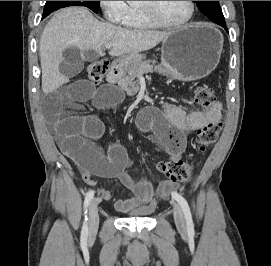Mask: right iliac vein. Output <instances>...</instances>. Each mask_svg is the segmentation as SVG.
I'll use <instances>...</instances> for the list:
<instances>
[{
	"instance_id": "right-iliac-vein-1",
	"label": "right iliac vein",
	"mask_w": 271,
	"mask_h": 266,
	"mask_svg": "<svg viewBox=\"0 0 271 266\" xmlns=\"http://www.w3.org/2000/svg\"><path fill=\"white\" fill-rule=\"evenodd\" d=\"M100 203V198H95L89 207V237L92 238L96 235L99 227V213L98 205Z\"/></svg>"
}]
</instances>
